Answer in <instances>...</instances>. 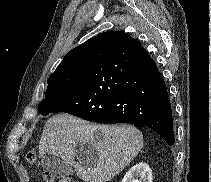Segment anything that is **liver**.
<instances>
[{
	"label": "liver",
	"mask_w": 211,
	"mask_h": 182,
	"mask_svg": "<svg viewBox=\"0 0 211 182\" xmlns=\"http://www.w3.org/2000/svg\"><path fill=\"white\" fill-rule=\"evenodd\" d=\"M97 131L102 139L95 137ZM81 144L94 148L98 158L85 161L78 158L75 148ZM143 145L142 133L133 126L95 125L62 113L46 122L38 151L39 156L50 154L62 158L85 182H107L137 156Z\"/></svg>",
	"instance_id": "liver-1"
}]
</instances>
